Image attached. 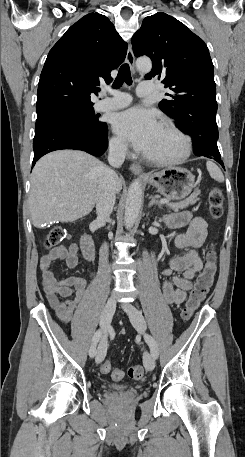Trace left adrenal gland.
Returning a JSON list of instances; mask_svg holds the SVG:
<instances>
[{"label": "left adrenal gland", "instance_id": "left-adrenal-gland-1", "mask_svg": "<svg viewBox=\"0 0 245 457\" xmlns=\"http://www.w3.org/2000/svg\"><path fill=\"white\" fill-rule=\"evenodd\" d=\"M149 198H151L148 206H152V204H157V206H159V208H161L162 204H160L159 200H156V198H154V196H149Z\"/></svg>", "mask_w": 245, "mask_h": 457}]
</instances>
